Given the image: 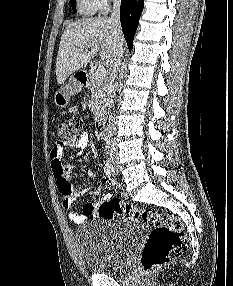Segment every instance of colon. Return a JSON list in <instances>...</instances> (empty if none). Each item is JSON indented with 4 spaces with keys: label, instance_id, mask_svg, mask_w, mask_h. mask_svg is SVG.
Instances as JSON below:
<instances>
[{
    "label": "colon",
    "instance_id": "colon-1",
    "mask_svg": "<svg viewBox=\"0 0 233 286\" xmlns=\"http://www.w3.org/2000/svg\"><path fill=\"white\" fill-rule=\"evenodd\" d=\"M83 122L79 117L61 121L56 126L60 142L73 143L81 136ZM98 214L105 219L119 217L136 218L150 228V234L141 254V265L150 272L179 257L187 246V236L181 220L171 214L155 209H138L117 198L103 201L98 206Z\"/></svg>",
    "mask_w": 233,
    "mask_h": 286
}]
</instances>
